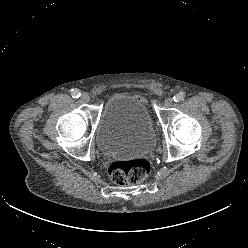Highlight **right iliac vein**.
<instances>
[{
  "instance_id": "obj_1",
  "label": "right iliac vein",
  "mask_w": 248,
  "mask_h": 248,
  "mask_svg": "<svg viewBox=\"0 0 248 248\" xmlns=\"http://www.w3.org/2000/svg\"><path fill=\"white\" fill-rule=\"evenodd\" d=\"M81 100L83 101V102H89L90 101V96H89V94L88 93H82L81 94Z\"/></svg>"
}]
</instances>
